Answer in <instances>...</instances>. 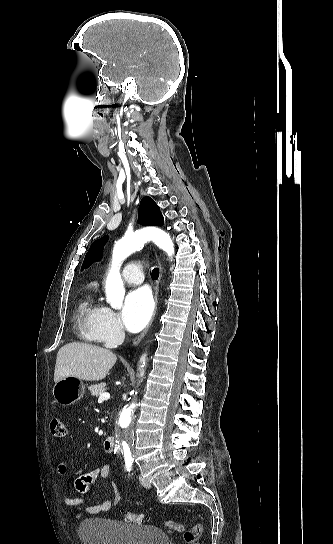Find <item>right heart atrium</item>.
Segmentation results:
<instances>
[{
  "mask_svg": "<svg viewBox=\"0 0 333 544\" xmlns=\"http://www.w3.org/2000/svg\"><path fill=\"white\" fill-rule=\"evenodd\" d=\"M96 331L99 341L110 346L120 341L124 335L122 325L117 314L108 307H101L97 321Z\"/></svg>",
  "mask_w": 333,
  "mask_h": 544,
  "instance_id": "1",
  "label": "right heart atrium"
}]
</instances>
